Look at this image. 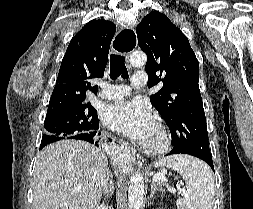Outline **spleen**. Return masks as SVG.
<instances>
[{"mask_svg": "<svg viewBox=\"0 0 253 209\" xmlns=\"http://www.w3.org/2000/svg\"><path fill=\"white\" fill-rule=\"evenodd\" d=\"M155 166L172 168L183 176L187 192L177 200L178 209H213L214 178L206 163L192 156L175 155L159 160Z\"/></svg>", "mask_w": 253, "mask_h": 209, "instance_id": "spleen-1", "label": "spleen"}]
</instances>
